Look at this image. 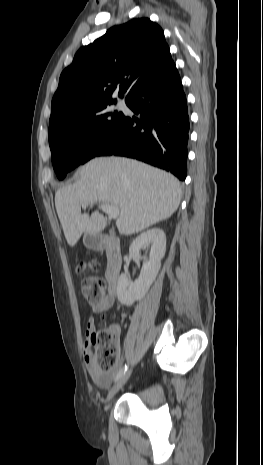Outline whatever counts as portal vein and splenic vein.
Here are the masks:
<instances>
[{
    "mask_svg": "<svg viewBox=\"0 0 263 465\" xmlns=\"http://www.w3.org/2000/svg\"><path fill=\"white\" fill-rule=\"evenodd\" d=\"M88 204L82 203V208H86ZM100 209L108 215L110 219H116L119 215V208L115 206H111L108 204H101Z\"/></svg>",
    "mask_w": 263,
    "mask_h": 465,
    "instance_id": "1",
    "label": "portal vein and splenic vein"
}]
</instances>
